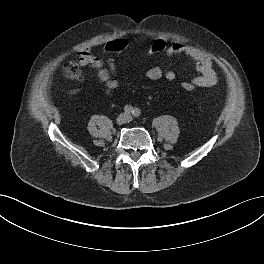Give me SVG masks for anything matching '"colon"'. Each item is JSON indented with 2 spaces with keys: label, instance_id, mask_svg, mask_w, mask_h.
Wrapping results in <instances>:
<instances>
[{
  "label": "colon",
  "instance_id": "1",
  "mask_svg": "<svg viewBox=\"0 0 264 264\" xmlns=\"http://www.w3.org/2000/svg\"><path fill=\"white\" fill-rule=\"evenodd\" d=\"M166 46H167V42L164 39L162 38L155 39L149 46L148 54L150 56L158 55L166 49ZM127 47H128L127 39H125L124 37H117L109 40L105 44L104 50L106 53L109 54H120L123 51H125ZM65 73L71 79H78L81 75L79 66L75 62H70L66 65ZM196 87L197 86L193 82V80L184 81L181 83V88L188 92L195 90Z\"/></svg>",
  "mask_w": 264,
  "mask_h": 264
}]
</instances>
